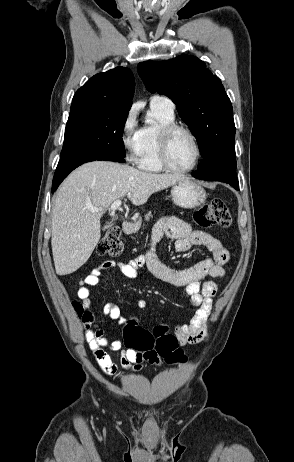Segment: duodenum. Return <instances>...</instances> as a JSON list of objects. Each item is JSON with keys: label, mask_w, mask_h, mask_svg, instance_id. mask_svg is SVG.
<instances>
[{"label": "duodenum", "mask_w": 294, "mask_h": 462, "mask_svg": "<svg viewBox=\"0 0 294 462\" xmlns=\"http://www.w3.org/2000/svg\"><path fill=\"white\" fill-rule=\"evenodd\" d=\"M135 229L134 223L130 220H125L122 225V231L124 234H131Z\"/></svg>", "instance_id": "410a0bca"}]
</instances>
